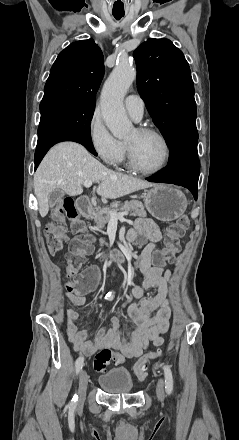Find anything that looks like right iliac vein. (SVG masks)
<instances>
[{
  "mask_svg": "<svg viewBox=\"0 0 239 440\" xmlns=\"http://www.w3.org/2000/svg\"><path fill=\"white\" fill-rule=\"evenodd\" d=\"M87 385H88V375L85 370H82L79 375V387H78V394L80 401H82L85 398Z\"/></svg>",
  "mask_w": 239,
  "mask_h": 440,
  "instance_id": "obj_1",
  "label": "right iliac vein"
}]
</instances>
